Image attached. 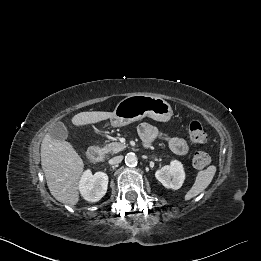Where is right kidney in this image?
<instances>
[{"instance_id": "obj_1", "label": "right kidney", "mask_w": 261, "mask_h": 261, "mask_svg": "<svg viewBox=\"0 0 261 261\" xmlns=\"http://www.w3.org/2000/svg\"><path fill=\"white\" fill-rule=\"evenodd\" d=\"M108 176L104 172H96L94 175L86 170L79 181V191L88 202L99 201L107 192Z\"/></svg>"}]
</instances>
